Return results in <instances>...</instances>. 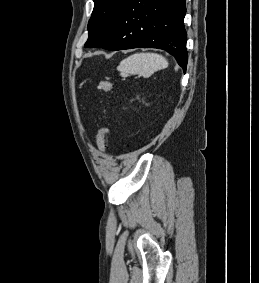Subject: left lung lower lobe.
<instances>
[{
    "mask_svg": "<svg viewBox=\"0 0 259 283\" xmlns=\"http://www.w3.org/2000/svg\"><path fill=\"white\" fill-rule=\"evenodd\" d=\"M185 0H126L106 34L91 48H159L186 71Z\"/></svg>",
    "mask_w": 259,
    "mask_h": 283,
    "instance_id": "1",
    "label": "left lung lower lobe"
}]
</instances>
